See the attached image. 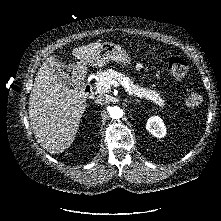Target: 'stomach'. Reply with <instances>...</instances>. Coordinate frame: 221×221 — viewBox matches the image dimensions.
<instances>
[{"instance_id":"0dacf381","label":"stomach","mask_w":221,"mask_h":221,"mask_svg":"<svg viewBox=\"0 0 221 221\" xmlns=\"http://www.w3.org/2000/svg\"><path fill=\"white\" fill-rule=\"evenodd\" d=\"M110 61L121 64L123 67H127L131 64L129 54L121 45L113 42H106L102 44L93 65L103 67ZM85 65L86 64L80 62L77 63V66L80 67V72L84 71Z\"/></svg>"}]
</instances>
